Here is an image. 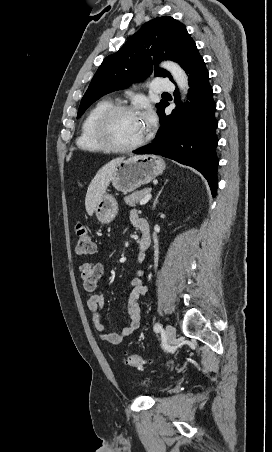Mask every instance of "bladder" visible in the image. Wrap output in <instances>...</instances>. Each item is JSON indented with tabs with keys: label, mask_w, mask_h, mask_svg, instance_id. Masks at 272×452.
<instances>
[{
	"label": "bladder",
	"mask_w": 272,
	"mask_h": 452,
	"mask_svg": "<svg viewBox=\"0 0 272 452\" xmlns=\"http://www.w3.org/2000/svg\"><path fill=\"white\" fill-rule=\"evenodd\" d=\"M152 388V382L146 377L138 378L134 381L132 389L136 392H147Z\"/></svg>",
	"instance_id": "1"
}]
</instances>
